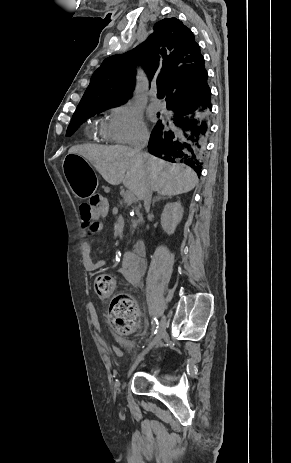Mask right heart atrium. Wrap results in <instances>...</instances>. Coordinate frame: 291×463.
Listing matches in <instances>:
<instances>
[{
	"instance_id": "right-heart-atrium-1",
	"label": "right heart atrium",
	"mask_w": 291,
	"mask_h": 463,
	"mask_svg": "<svg viewBox=\"0 0 291 463\" xmlns=\"http://www.w3.org/2000/svg\"><path fill=\"white\" fill-rule=\"evenodd\" d=\"M102 135L114 143L138 144L147 139L148 131L137 107L126 102L111 109Z\"/></svg>"
}]
</instances>
